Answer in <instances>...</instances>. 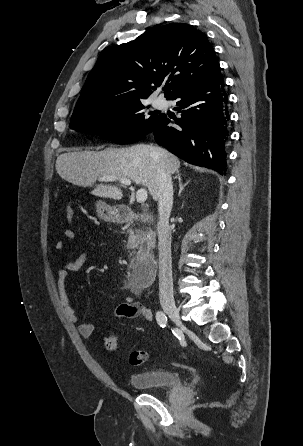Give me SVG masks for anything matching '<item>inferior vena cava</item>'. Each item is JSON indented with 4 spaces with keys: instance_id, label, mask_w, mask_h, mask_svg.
Listing matches in <instances>:
<instances>
[{
    "instance_id": "obj_1",
    "label": "inferior vena cava",
    "mask_w": 303,
    "mask_h": 446,
    "mask_svg": "<svg viewBox=\"0 0 303 446\" xmlns=\"http://www.w3.org/2000/svg\"><path fill=\"white\" fill-rule=\"evenodd\" d=\"M158 212L157 224L159 250V298L160 302H173V279L171 259V228L169 217L173 205V184L171 174L163 168L157 178Z\"/></svg>"
}]
</instances>
